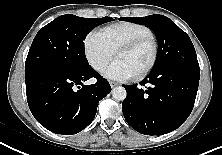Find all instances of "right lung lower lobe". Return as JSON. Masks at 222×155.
<instances>
[{
	"instance_id": "right-lung-lower-lobe-1",
	"label": "right lung lower lobe",
	"mask_w": 222,
	"mask_h": 155,
	"mask_svg": "<svg viewBox=\"0 0 222 155\" xmlns=\"http://www.w3.org/2000/svg\"><path fill=\"white\" fill-rule=\"evenodd\" d=\"M96 78L93 85L83 82ZM111 91L108 81L90 65L66 71L50 70L26 80L29 108L35 119L53 133L73 135L95 118L99 101Z\"/></svg>"
}]
</instances>
